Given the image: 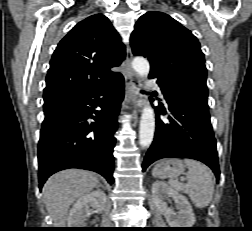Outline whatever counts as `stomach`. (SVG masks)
<instances>
[{
	"label": "stomach",
	"instance_id": "1",
	"mask_svg": "<svg viewBox=\"0 0 252 231\" xmlns=\"http://www.w3.org/2000/svg\"><path fill=\"white\" fill-rule=\"evenodd\" d=\"M185 170V165L178 159H166L159 162L152 171L154 177L177 178Z\"/></svg>",
	"mask_w": 252,
	"mask_h": 231
}]
</instances>
